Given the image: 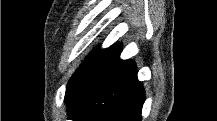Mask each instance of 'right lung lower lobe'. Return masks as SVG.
I'll list each match as a JSON object with an SVG mask.
<instances>
[{"label": "right lung lower lobe", "instance_id": "obj_1", "mask_svg": "<svg viewBox=\"0 0 217 121\" xmlns=\"http://www.w3.org/2000/svg\"><path fill=\"white\" fill-rule=\"evenodd\" d=\"M121 45L106 49L94 65L67 90L73 121H140L145 90L132 60L119 58Z\"/></svg>", "mask_w": 217, "mask_h": 121}]
</instances>
